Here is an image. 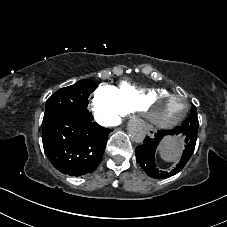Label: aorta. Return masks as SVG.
Listing matches in <instances>:
<instances>
[{
	"label": "aorta",
	"instance_id": "aorta-1",
	"mask_svg": "<svg viewBox=\"0 0 227 227\" xmlns=\"http://www.w3.org/2000/svg\"><path fill=\"white\" fill-rule=\"evenodd\" d=\"M128 130L130 136L134 141H136L137 143L143 141L145 135V127L142 121L133 120L132 122L129 123Z\"/></svg>",
	"mask_w": 227,
	"mask_h": 227
}]
</instances>
